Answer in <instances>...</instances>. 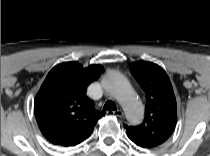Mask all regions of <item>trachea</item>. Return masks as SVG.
Returning <instances> with one entry per match:
<instances>
[{
  "mask_svg": "<svg viewBox=\"0 0 210 156\" xmlns=\"http://www.w3.org/2000/svg\"><path fill=\"white\" fill-rule=\"evenodd\" d=\"M103 109H113V110H117L115 104L113 102H107L105 105H104V108Z\"/></svg>",
  "mask_w": 210,
  "mask_h": 156,
  "instance_id": "obj_1",
  "label": "trachea"
}]
</instances>
